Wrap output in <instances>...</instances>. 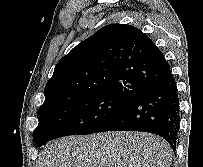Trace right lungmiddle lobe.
I'll return each mask as SVG.
<instances>
[{"mask_svg":"<svg viewBox=\"0 0 203 167\" xmlns=\"http://www.w3.org/2000/svg\"><path fill=\"white\" fill-rule=\"evenodd\" d=\"M130 100L98 93L66 100L37 112L39 124L33 131L40 147L50 140L77 134H92Z\"/></svg>","mask_w":203,"mask_h":167,"instance_id":"right-lung-middle-lobe-1","label":"right lung middle lobe"}]
</instances>
